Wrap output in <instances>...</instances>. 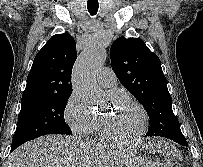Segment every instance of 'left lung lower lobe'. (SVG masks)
<instances>
[{
  "label": "left lung lower lobe",
  "instance_id": "obj_1",
  "mask_svg": "<svg viewBox=\"0 0 203 167\" xmlns=\"http://www.w3.org/2000/svg\"><path fill=\"white\" fill-rule=\"evenodd\" d=\"M166 138H169V139L175 141L178 144L187 146V141H186V139H185V137L183 135L172 134V135H167Z\"/></svg>",
  "mask_w": 203,
  "mask_h": 167
}]
</instances>
